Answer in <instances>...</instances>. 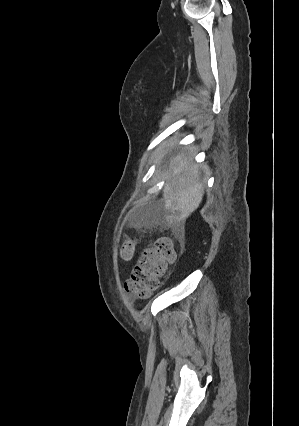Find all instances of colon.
<instances>
[{
  "instance_id": "obj_1",
  "label": "colon",
  "mask_w": 299,
  "mask_h": 426,
  "mask_svg": "<svg viewBox=\"0 0 299 426\" xmlns=\"http://www.w3.org/2000/svg\"><path fill=\"white\" fill-rule=\"evenodd\" d=\"M134 251V241L127 240L121 246L120 257L129 261ZM174 259L175 250L172 239L158 238L153 245L141 253L131 277L125 282L126 294L134 300L148 298L158 288L167 265Z\"/></svg>"
}]
</instances>
